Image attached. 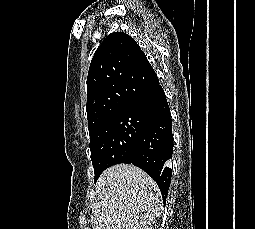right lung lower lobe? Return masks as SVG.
I'll return each instance as SVG.
<instances>
[{
	"label": "right lung lower lobe",
	"mask_w": 255,
	"mask_h": 229,
	"mask_svg": "<svg viewBox=\"0 0 255 229\" xmlns=\"http://www.w3.org/2000/svg\"><path fill=\"white\" fill-rule=\"evenodd\" d=\"M126 109L143 123L135 154L128 164L141 168L156 181L165 203L172 177L173 135L170 108L158 78L140 100Z\"/></svg>",
	"instance_id": "98d812e1"
}]
</instances>
